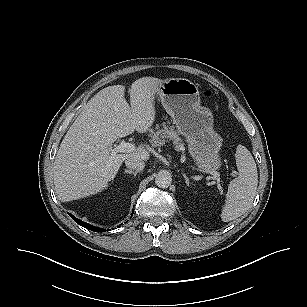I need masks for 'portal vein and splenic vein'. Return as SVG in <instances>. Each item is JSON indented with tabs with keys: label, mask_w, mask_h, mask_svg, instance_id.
<instances>
[{
	"label": "portal vein and splenic vein",
	"mask_w": 307,
	"mask_h": 307,
	"mask_svg": "<svg viewBox=\"0 0 307 307\" xmlns=\"http://www.w3.org/2000/svg\"><path fill=\"white\" fill-rule=\"evenodd\" d=\"M136 150V146L132 143L122 142L114 148H111L110 151L112 155H116L118 152L120 153H130Z\"/></svg>",
	"instance_id": "obj_1"
}]
</instances>
